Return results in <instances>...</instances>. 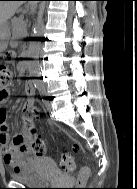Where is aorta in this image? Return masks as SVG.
<instances>
[{"label": "aorta", "instance_id": "1", "mask_svg": "<svg viewBox=\"0 0 137 189\" xmlns=\"http://www.w3.org/2000/svg\"><path fill=\"white\" fill-rule=\"evenodd\" d=\"M44 24L42 21H39L36 26V33L30 35V46H29V56L34 59L30 65V75L33 77V82H43L42 73L39 71V62L36 61L39 54V37L43 36Z\"/></svg>", "mask_w": 137, "mask_h": 189}]
</instances>
